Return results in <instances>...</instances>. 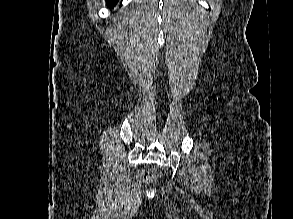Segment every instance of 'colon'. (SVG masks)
<instances>
[{"label":"colon","instance_id":"obj_1","mask_svg":"<svg viewBox=\"0 0 293 219\" xmlns=\"http://www.w3.org/2000/svg\"><path fill=\"white\" fill-rule=\"evenodd\" d=\"M160 176V172L158 171H150V172H140L138 174V180L141 182H149Z\"/></svg>","mask_w":293,"mask_h":219}]
</instances>
